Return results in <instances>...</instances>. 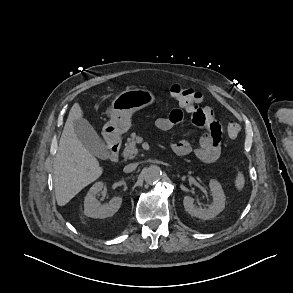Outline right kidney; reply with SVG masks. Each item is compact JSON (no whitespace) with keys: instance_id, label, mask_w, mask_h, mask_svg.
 Masks as SVG:
<instances>
[{"instance_id":"1","label":"right kidney","mask_w":293,"mask_h":293,"mask_svg":"<svg viewBox=\"0 0 293 293\" xmlns=\"http://www.w3.org/2000/svg\"><path fill=\"white\" fill-rule=\"evenodd\" d=\"M103 189L102 182H96L87 193L84 200V214L92 218H107L113 216L120 208L122 197L115 196L109 203L100 204L96 198L97 194Z\"/></svg>"}]
</instances>
